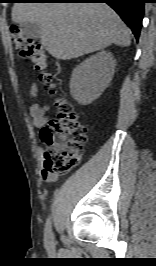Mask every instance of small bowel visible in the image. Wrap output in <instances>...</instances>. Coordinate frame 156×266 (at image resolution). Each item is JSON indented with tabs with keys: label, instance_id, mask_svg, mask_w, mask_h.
I'll return each mask as SVG.
<instances>
[{
	"label": "small bowel",
	"instance_id": "c3829d8e",
	"mask_svg": "<svg viewBox=\"0 0 156 266\" xmlns=\"http://www.w3.org/2000/svg\"><path fill=\"white\" fill-rule=\"evenodd\" d=\"M36 88H33V92H35ZM48 107L47 106H42L39 104H33L30 107V115L32 117L33 120V124L36 127H43L46 125L47 121H48ZM36 155L38 158H41L43 155V149L41 147H38L36 150ZM41 176L43 178V180L47 181V182H54L57 180V176L47 173L45 170L41 171Z\"/></svg>",
	"mask_w": 156,
	"mask_h": 266
}]
</instances>
